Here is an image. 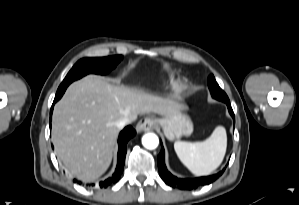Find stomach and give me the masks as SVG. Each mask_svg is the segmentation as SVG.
<instances>
[{"label": "stomach", "mask_w": 299, "mask_h": 205, "mask_svg": "<svg viewBox=\"0 0 299 205\" xmlns=\"http://www.w3.org/2000/svg\"><path fill=\"white\" fill-rule=\"evenodd\" d=\"M158 123L169 140L180 138L182 135H190L193 132V123L188 115L179 112L159 119Z\"/></svg>", "instance_id": "obj_1"}]
</instances>
